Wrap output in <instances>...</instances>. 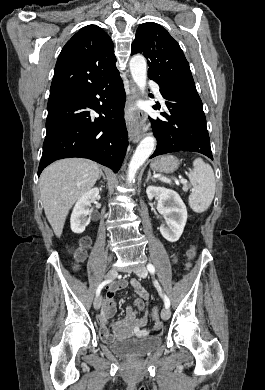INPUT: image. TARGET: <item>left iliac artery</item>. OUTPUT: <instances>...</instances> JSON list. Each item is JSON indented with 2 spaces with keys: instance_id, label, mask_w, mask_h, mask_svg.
Masks as SVG:
<instances>
[{
  "instance_id": "44dca946",
  "label": "left iliac artery",
  "mask_w": 265,
  "mask_h": 390,
  "mask_svg": "<svg viewBox=\"0 0 265 390\" xmlns=\"http://www.w3.org/2000/svg\"><path fill=\"white\" fill-rule=\"evenodd\" d=\"M147 269H148V271H149L151 274H154V273H155V267H154L151 263H149V264L147 265ZM155 286H156L157 289L161 292V288H160V286L158 285V283H155ZM161 295H162V297L164 298L165 307H166V308H169V307H170V300H169V298H168L165 294H161Z\"/></svg>"
}]
</instances>
